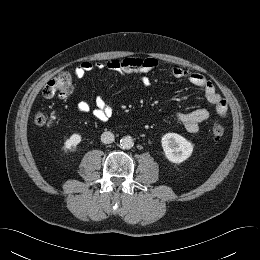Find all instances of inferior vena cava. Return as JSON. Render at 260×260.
Segmentation results:
<instances>
[{
	"mask_svg": "<svg viewBox=\"0 0 260 260\" xmlns=\"http://www.w3.org/2000/svg\"><path fill=\"white\" fill-rule=\"evenodd\" d=\"M101 141L105 144L112 143L114 141V134L109 131L102 133Z\"/></svg>",
	"mask_w": 260,
	"mask_h": 260,
	"instance_id": "obj_1",
	"label": "inferior vena cava"
}]
</instances>
